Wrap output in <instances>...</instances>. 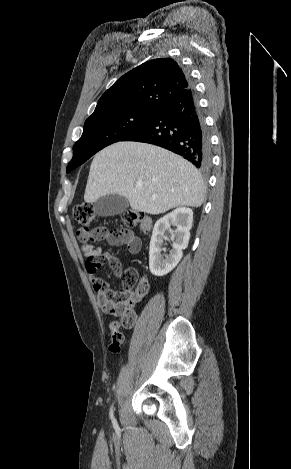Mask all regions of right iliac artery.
Masks as SVG:
<instances>
[{
	"mask_svg": "<svg viewBox=\"0 0 291 469\" xmlns=\"http://www.w3.org/2000/svg\"><path fill=\"white\" fill-rule=\"evenodd\" d=\"M110 417H111L113 423L115 424L116 421H115V419H114V417H113V408H112V407H111V410H110Z\"/></svg>",
	"mask_w": 291,
	"mask_h": 469,
	"instance_id": "right-iliac-artery-1",
	"label": "right iliac artery"
}]
</instances>
